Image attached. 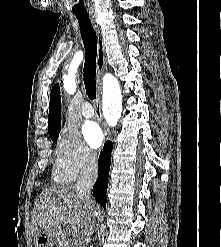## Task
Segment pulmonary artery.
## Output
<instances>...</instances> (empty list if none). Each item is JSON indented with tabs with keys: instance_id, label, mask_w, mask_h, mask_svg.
Returning <instances> with one entry per match:
<instances>
[{
	"instance_id": "obj_1",
	"label": "pulmonary artery",
	"mask_w": 221,
	"mask_h": 247,
	"mask_svg": "<svg viewBox=\"0 0 221 247\" xmlns=\"http://www.w3.org/2000/svg\"><path fill=\"white\" fill-rule=\"evenodd\" d=\"M81 112L85 118H91L94 115V110L88 102L83 104Z\"/></svg>"
}]
</instances>
